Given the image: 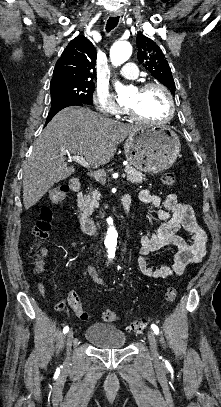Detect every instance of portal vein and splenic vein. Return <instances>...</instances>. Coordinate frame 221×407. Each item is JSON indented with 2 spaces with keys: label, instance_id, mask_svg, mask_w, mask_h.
<instances>
[{
  "label": "portal vein and splenic vein",
  "instance_id": "18ae733b",
  "mask_svg": "<svg viewBox=\"0 0 221 407\" xmlns=\"http://www.w3.org/2000/svg\"><path fill=\"white\" fill-rule=\"evenodd\" d=\"M70 159H72L73 161L79 163L80 165H82L83 167L90 169V165L89 163L85 160L84 157L82 156H78V155H73V156H69ZM126 174H122V178H125Z\"/></svg>",
  "mask_w": 221,
  "mask_h": 407
}]
</instances>
